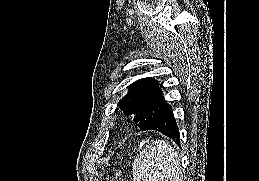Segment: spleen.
Masks as SVG:
<instances>
[{"label": "spleen", "mask_w": 259, "mask_h": 181, "mask_svg": "<svg viewBox=\"0 0 259 181\" xmlns=\"http://www.w3.org/2000/svg\"><path fill=\"white\" fill-rule=\"evenodd\" d=\"M133 181H182L180 159L164 140H156L140 152L132 164Z\"/></svg>", "instance_id": "3e777b00"}]
</instances>
